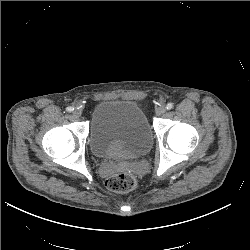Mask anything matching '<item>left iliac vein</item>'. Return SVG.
Instances as JSON below:
<instances>
[{
    "label": "left iliac vein",
    "instance_id": "obj_1",
    "mask_svg": "<svg viewBox=\"0 0 250 250\" xmlns=\"http://www.w3.org/2000/svg\"><path fill=\"white\" fill-rule=\"evenodd\" d=\"M165 111H166V108L164 106H160L156 109L155 113H156V115L160 116V115L164 114Z\"/></svg>",
    "mask_w": 250,
    "mask_h": 250
}]
</instances>
